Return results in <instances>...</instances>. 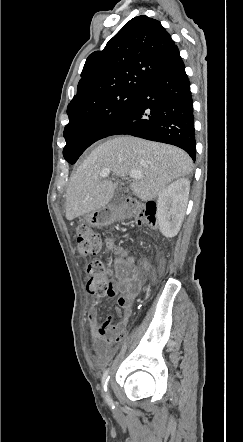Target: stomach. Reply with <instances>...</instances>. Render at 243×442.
<instances>
[{"instance_id": "0dacf381", "label": "stomach", "mask_w": 243, "mask_h": 442, "mask_svg": "<svg viewBox=\"0 0 243 442\" xmlns=\"http://www.w3.org/2000/svg\"><path fill=\"white\" fill-rule=\"evenodd\" d=\"M119 218V213L117 209L108 205L99 210L85 214L84 219L86 222L93 227H103L107 226Z\"/></svg>"}]
</instances>
